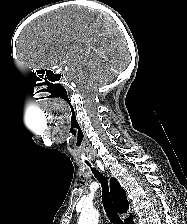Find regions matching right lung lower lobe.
I'll use <instances>...</instances> for the list:
<instances>
[{
    "label": "right lung lower lobe",
    "instance_id": "98d812e1",
    "mask_svg": "<svg viewBox=\"0 0 187 224\" xmlns=\"http://www.w3.org/2000/svg\"><path fill=\"white\" fill-rule=\"evenodd\" d=\"M126 224H134V222L132 221V218H131L130 221L127 222Z\"/></svg>",
    "mask_w": 187,
    "mask_h": 224
}]
</instances>
